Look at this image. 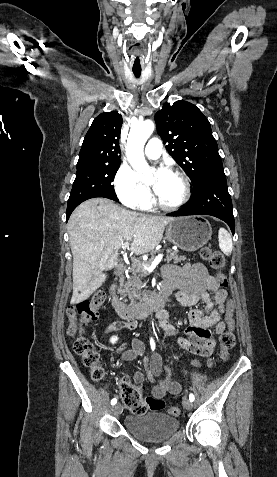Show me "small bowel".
<instances>
[{"label": "small bowel", "mask_w": 277, "mask_h": 477, "mask_svg": "<svg viewBox=\"0 0 277 477\" xmlns=\"http://www.w3.org/2000/svg\"><path fill=\"white\" fill-rule=\"evenodd\" d=\"M165 279L162 292L168 294L175 291V297L185 306H194L199 300L204 303L201 308H193L188 315L189 326L183 331L174 327L168 322V315L162 312L157 320L164 334L170 337H177L179 346L186 351L208 357L216 346L215 336L222 334L226 328L221 316L226 314L224 304L228 300L227 291L221 286L217 278L210 275L202 263H192L179 265H166L163 268ZM135 321H115L105 330L111 333L123 328L135 329ZM229 327V326H228ZM145 352L144 343L138 338L131 339V348L121 353L123 361H132ZM193 366L199 367L197 360L191 361ZM148 380L152 384L151 394L153 398L162 399L165 395H176L181 391L179 382L173 379L172 371L169 367H163L162 358L158 352H153L150 357L143 358ZM207 365L212 366V361L208 359ZM164 372V377L157 380ZM142 372H135L132 379L140 384L144 381ZM124 381H129L126 376Z\"/></svg>", "instance_id": "small-bowel-1"}]
</instances>
